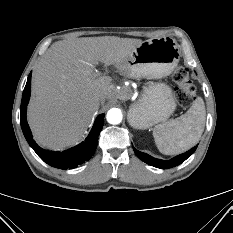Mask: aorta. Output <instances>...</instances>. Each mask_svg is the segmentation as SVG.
I'll return each instance as SVG.
<instances>
[{
	"label": "aorta",
	"mask_w": 233,
	"mask_h": 233,
	"mask_svg": "<svg viewBox=\"0 0 233 233\" xmlns=\"http://www.w3.org/2000/svg\"><path fill=\"white\" fill-rule=\"evenodd\" d=\"M107 121L110 124H119L122 121V113L118 108H112L107 113Z\"/></svg>",
	"instance_id": "1"
}]
</instances>
